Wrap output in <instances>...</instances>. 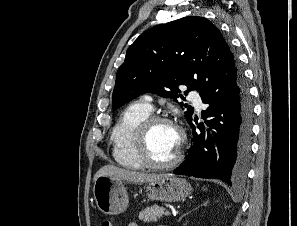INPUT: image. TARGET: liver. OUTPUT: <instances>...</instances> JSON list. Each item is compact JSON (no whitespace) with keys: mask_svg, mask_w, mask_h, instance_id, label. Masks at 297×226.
Wrapping results in <instances>:
<instances>
[{"mask_svg":"<svg viewBox=\"0 0 297 226\" xmlns=\"http://www.w3.org/2000/svg\"><path fill=\"white\" fill-rule=\"evenodd\" d=\"M100 176H109L117 180L133 183H150L168 176V174H147L125 170L113 165H105L96 172L94 181Z\"/></svg>","mask_w":297,"mask_h":226,"instance_id":"obj_1","label":"liver"}]
</instances>
